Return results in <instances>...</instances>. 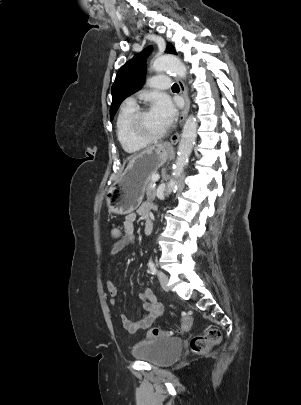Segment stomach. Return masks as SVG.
Masks as SVG:
<instances>
[{"instance_id": "1", "label": "stomach", "mask_w": 301, "mask_h": 405, "mask_svg": "<svg viewBox=\"0 0 301 405\" xmlns=\"http://www.w3.org/2000/svg\"><path fill=\"white\" fill-rule=\"evenodd\" d=\"M171 151L168 144L162 143L134 157L108 190L106 200L109 211L124 215L136 210L151 176L167 161Z\"/></svg>"}]
</instances>
